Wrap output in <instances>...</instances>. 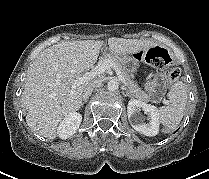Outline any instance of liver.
<instances>
[{"mask_svg":"<svg viewBox=\"0 0 209 179\" xmlns=\"http://www.w3.org/2000/svg\"><path fill=\"white\" fill-rule=\"evenodd\" d=\"M103 43L62 42L42 51L29 66L21 103L28 111L27 124L34 132L53 140L62 119L80 109L82 95L92 80L79 85H74V80L93 67ZM153 45L146 40L108 39L109 54L114 56L147 51Z\"/></svg>","mask_w":209,"mask_h":179,"instance_id":"6515ba94","label":"liver"}]
</instances>
